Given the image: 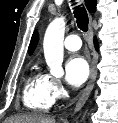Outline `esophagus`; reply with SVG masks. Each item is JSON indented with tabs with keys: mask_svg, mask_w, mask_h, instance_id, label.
<instances>
[{
	"mask_svg": "<svg viewBox=\"0 0 118 123\" xmlns=\"http://www.w3.org/2000/svg\"><path fill=\"white\" fill-rule=\"evenodd\" d=\"M96 63H97V56L94 54L93 59H92L91 72H90V78H89L88 84L78 94L77 103H76L74 112H78L83 107V105L86 103V101L89 98V95L94 87L95 80L97 77Z\"/></svg>",
	"mask_w": 118,
	"mask_h": 123,
	"instance_id": "obj_1",
	"label": "esophagus"
}]
</instances>
